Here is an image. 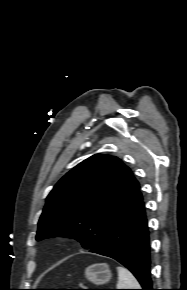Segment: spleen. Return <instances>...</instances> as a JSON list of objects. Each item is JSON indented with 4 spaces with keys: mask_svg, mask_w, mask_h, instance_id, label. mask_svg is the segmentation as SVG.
I'll return each instance as SVG.
<instances>
[{
    "mask_svg": "<svg viewBox=\"0 0 187 290\" xmlns=\"http://www.w3.org/2000/svg\"><path fill=\"white\" fill-rule=\"evenodd\" d=\"M117 289H140V285L133 274L126 268L119 266Z\"/></svg>",
    "mask_w": 187,
    "mask_h": 290,
    "instance_id": "3e777b00",
    "label": "spleen"
}]
</instances>
